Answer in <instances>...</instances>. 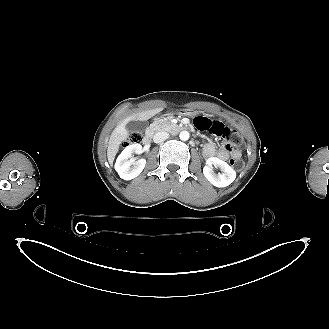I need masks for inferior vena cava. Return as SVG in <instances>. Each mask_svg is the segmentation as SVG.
<instances>
[{"instance_id":"inferior-vena-cava-1","label":"inferior vena cava","mask_w":329,"mask_h":329,"mask_svg":"<svg viewBox=\"0 0 329 329\" xmlns=\"http://www.w3.org/2000/svg\"><path fill=\"white\" fill-rule=\"evenodd\" d=\"M169 137V133L167 132H164V131H160V132H157L154 137H153V141L155 143H163L166 139H168Z\"/></svg>"}]
</instances>
